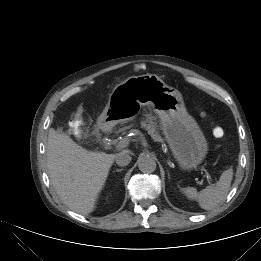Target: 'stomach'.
Instances as JSON below:
<instances>
[{
  "instance_id": "1",
  "label": "stomach",
  "mask_w": 261,
  "mask_h": 261,
  "mask_svg": "<svg viewBox=\"0 0 261 261\" xmlns=\"http://www.w3.org/2000/svg\"><path fill=\"white\" fill-rule=\"evenodd\" d=\"M142 107L158 116L165 140L181 169L190 171L203 162L209 149L206 137L188 114L180 92L155 74L131 76L116 85L98 124L108 129L131 121Z\"/></svg>"
}]
</instances>
